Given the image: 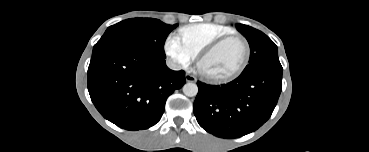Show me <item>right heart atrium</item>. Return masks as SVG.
<instances>
[{"label": "right heart atrium", "instance_id": "d8ad5b80", "mask_svg": "<svg viewBox=\"0 0 369 152\" xmlns=\"http://www.w3.org/2000/svg\"><path fill=\"white\" fill-rule=\"evenodd\" d=\"M164 50L173 63L181 69H188L197 57L183 42L179 34H170L167 37Z\"/></svg>", "mask_w": 369, "mask_h": 152}]
</instances>
